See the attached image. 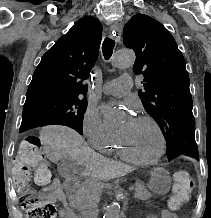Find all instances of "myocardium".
<instances>
[{
	"label": "myocardium",
	"instance_id": "myocardium-1",
	"mask_svg": "<svg viewBox=\"0 0 211 218\" xmlns=\"http://www.w3.org/2000/svg\"><path fill=\"white\" fill-rule=\"evenodd\" d=\"M138 119L147 120L148 122H150L154 126L155 130L157 131L159 139H160V149H159L158 153L152 158H140V157L134 155L133 153H131L127 149L123 140L118 135L116 136V142H117V145H118L121 153L127 159L131 160L134 163L141 164V165H152V164L158 162L164 154V151H165L164 132H163L161 126L159 125V123L153 117H151L149 115H141L138 117Z\"/></svg>",
	"mask_w": 211,
	"mask_h": 218
}]
</instances>
